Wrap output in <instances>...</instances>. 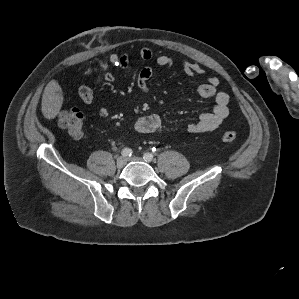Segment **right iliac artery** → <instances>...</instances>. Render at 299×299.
Here are the masks:
<instances>
[{
    "instance_id": "obj_1",
    "label": "right iliac artery",
    "mask_w": 299,
    "mask_h": 299,
    "mask_svg": "<svg viewBox=\"0 0 299 299\" xmlns=\"http://www.w3.org/2000/svg\"><path fill=\"white\" fill-rule=\"evenodd\" d=\"M132 150L130 148H124L121 152L122 156L130 157L132 155Z\"/></svg>"
}]
</instances>
